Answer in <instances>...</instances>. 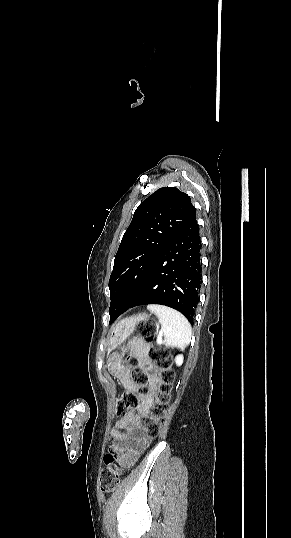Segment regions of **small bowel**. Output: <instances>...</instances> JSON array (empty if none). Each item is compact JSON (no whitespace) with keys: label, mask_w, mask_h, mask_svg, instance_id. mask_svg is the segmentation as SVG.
I'll list each match as a JSON object with an SVG mask.
<instances>
[{"label":"small bowel","mask_w":291,"mask_h":538,"mask_svg":"<svg viewBox=\"0 0 291 538\" xmlns=\"http://www.w3.org/2000/svg\"><path fill=\"white\" fill-rule=\"evenodd\" d=\"M132 349L141 355V346L134 343ZM122 356L113 354L108 361L107 373L109 376H117L122 386L132 392L137 391V387L129 378L126 371L121 369ZM150 388L153 390L158 384L156 372L149 369ZM153 403L151 394H146L142 402L137 406V413H129L119 419L111 430L113 444L111 447L112 454L118 457L119 464L123 468H130L139 458V456L148 448L152 438L149 437L142 425L141 416L149 413Z\"/></svg>","instance_id":"c3829d8e"}]
</instances>
